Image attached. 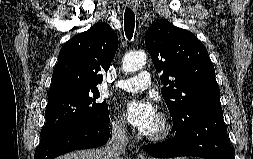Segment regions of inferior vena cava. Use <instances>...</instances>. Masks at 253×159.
<instances>
[{
	"label": "inferior vena cava",
	"instance_id": "602c4592",
	"mask_svg": "<svg viewBox=\"0 0 253 159\" xmlns=\"http://www.w3.org/2000/svg\"><path fill=\"white\" fill-rule=\"evenodd\" d=\"M128 144V136L124 124L115 125L112 129L111 138L105 147L106 159H120L125 153Z\"/></svg>",
	"mask_w": 253,
	"mask_h": 159
}]
</instances>
